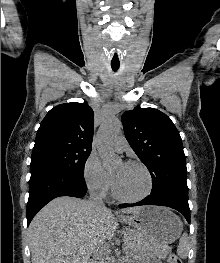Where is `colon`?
Here are the masks:
<instances>
[{
	"mask_svg": "<svg viewBox=\"0 0 220 263\" xmlns=\"http://www.w3.org/2000/svg\"><path fill=\"white\" fill-rule=\"evenodd\" d=\"M169 263H182V260L177 255L172 254L169 257Z\"/></svg>",
	"mask_w": 220,
	"mask_h": 263,
	"instance_id": "5ec220e1",
	"label": "colon"
}]
</instances>
